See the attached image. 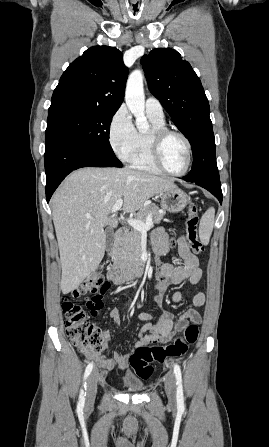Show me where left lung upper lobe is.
<instances>
[{"label": "left lung upper lobe", "instance_id": "1", "mask_svg": "<svg viewBox=\"0 0 269 447\" xmlns=\"http://www.w3.org/2000/svg\"><path fill=\"white\" fill-rule=\"evenodd\" d=\"M150 92L189 140L193 181L219 178L208 99L191 65L171 48L152 50L141 59Z\"/></svg>", "mask_w": 269, "mask_h": 447}]
</instances>
